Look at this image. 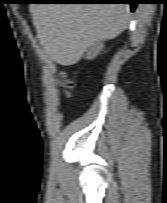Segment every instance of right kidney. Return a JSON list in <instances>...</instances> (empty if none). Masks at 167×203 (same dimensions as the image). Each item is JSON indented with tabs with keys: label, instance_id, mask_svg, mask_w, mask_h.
<instances>
[{
	"label": "right kidney",
	"instance_id": "right-kidney-1",
	"mask_svg": "<svg viewBox=\"0 0 167 203\" xmlns=\"http://www.w3.org/2000/svg\"><path fill=\"white\" fill-rule=\"evenodd\" d=\"M104 45L100 42H98L97 44H95L86 54V58L87 59H93L95 58L100 51L103 49Z\"/></svg>",
	"mask_w": 167,
	"mask_h": 203
}]
</instances>
